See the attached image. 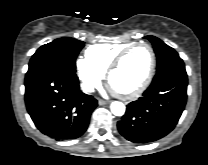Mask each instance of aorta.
I'll list each match as a JSON object with an SVG mask.
<instances>
[{"label": "aorta", "mask_w": 208, "mask_h": 165, "mask_svg": "<svg viewBox=\"0 0 208 165\" xmlns=\"http://www.w3.org/2000/svg\"><path fill=\"white\" fill-rule=\"evenodd\" d=\"M110 109L115 116H122L125 113V105L119 101L112 102Z\"/></svg>", "instance_id": "1"}]
</instances>
